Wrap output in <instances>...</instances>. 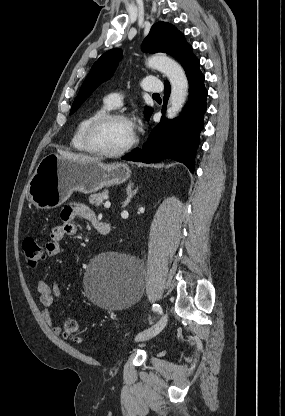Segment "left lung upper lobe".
I'll return each instance as SVG.
<instances>
[{"mask_svg":"<svg viewBox=\"0 0 285 416\" xmlns=\"http://www.w3.org/2000/svg\"><path fill=\"white\" fill-rule=\"evenodd\" d=\"M142 49L148 53H167L180 61L183 67L195 58L192 47L185 41L183 34L166 22H158L152 26L148 36L143 41ZM121 55L120 49H112L104 53L93 64L72 105L70 114H73L80 107L102 81H106L112 76ZM152 112V108H146L145 116L149 118Z\"/></svg>","mask_w":285,"mask_h":416,"instance_id":"left-lung-upper-lobe-1","label":"left lung upper lobe"}]
</instances>
